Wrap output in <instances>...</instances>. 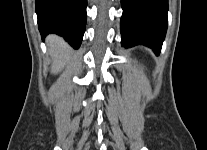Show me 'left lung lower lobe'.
I'll return each mask as SVG.
<instances>
[{"instance_id":"0a47b994","label":"left lung lower lobe","mask_w":207,"mask_h":150,"mask_svg":"<svg viewBox=\"0 0 207 150\" xmlns=\"http://www.w3.org/2000/svg\"><path fill=\"white\" fill-rule=\"evenodd\" d=\"M122 45L143 44L159 55L167 31L168 0H121Z\"/></svg>"}]
</instances>
